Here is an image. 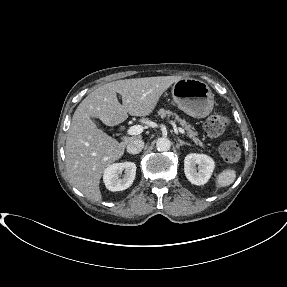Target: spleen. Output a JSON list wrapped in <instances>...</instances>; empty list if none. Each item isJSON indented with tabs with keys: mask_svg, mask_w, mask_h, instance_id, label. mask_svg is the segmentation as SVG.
<instances>
[{
	"mask_svg": "<svg viewBox=\"0 0 287 287\" xmlns=\"http://www.w3.org/2000/svg\"><path fill=\"white\" fill-rule=\"evenodd\" d=\"M236 179V171L234 169L223 170L216 178V188L227 187Z\"/></svg>",
	"mask_w": 287,
	"mask_h": 287,
	"instance_id": "spleen-1",
	"label": "spleen"
}]
</instances>
